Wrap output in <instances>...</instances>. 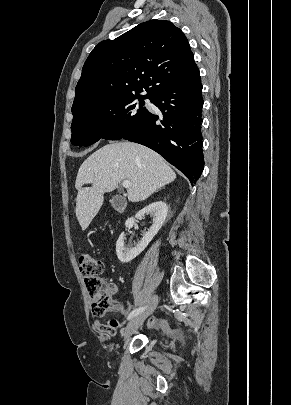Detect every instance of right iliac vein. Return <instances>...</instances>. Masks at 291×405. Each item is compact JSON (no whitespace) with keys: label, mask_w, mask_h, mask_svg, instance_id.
I'll return each mask as SVG.
<instances>
[{"label":"right iliac vein","mask_w":291,"mask_h":405,"mask_svg":"<svg viewBox=\"0 0 291 405\" xmlns=\"http://www.w3.org/2000/svg\"><path fill=\"white\" fill-rule=\"evenodd\" d=\"M157 304H158V296L154 295L152 297L148 307L143 312H141L140 314L135 316L128 323L127 327L125 328V330L123 332L124 338H128L129 336H131L143 324L145 319L155 311Z\"/></svg>","instance_id":"right-iliac-vein-1"}]
</instances>
